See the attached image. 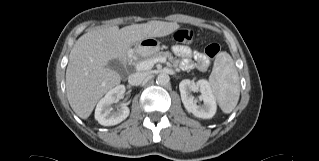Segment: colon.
I'll return each mask as SVG.
<instances>
[{
    "mask_svg": "<svg viewBox=\"0 0 319 161\" xmlns=\"http://www.w3.org/2000/svg\"><path fill=\"white\" fill-rule=\"evenodd\" d=\"M174 39L179 43H190L194 39V31L192 29H179L174 33ZM220 52L218 43L212 42L204 47V54L208 58H215Z\"/></svg>",
    "mask_w": 319,
    "mask_h": 161,
    "instance_id": "5ec220e1",
    "label": "colon"
}]
</instances>
